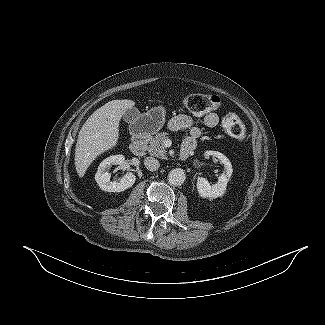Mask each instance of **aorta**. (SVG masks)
<instances>
[{"instance_id": "obj_1", "label": "aorta", "mask_w": 325, "mask_h": 325, "mask_svg": "<svg viewBox=\"0 0 325 325\" xmlns=\"http://www.w3.org/2000/svg\"><path fill=\"white\" fill-rule=\"evenodd\" d=\"M186 175L183 169H172L168 174V181L171 185H181L185 181Z\"/></svg>"}]
</instances>
